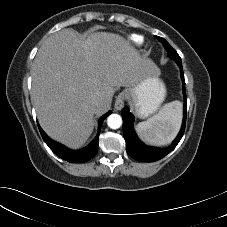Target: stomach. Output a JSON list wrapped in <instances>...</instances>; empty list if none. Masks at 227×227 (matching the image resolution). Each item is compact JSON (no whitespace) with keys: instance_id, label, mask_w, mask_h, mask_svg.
<instances>
[{"instance_id":"1","label":"stomach","mask_w":227,"mask_h":227,"mask_svg":"<svg viewBox=\"0 0 227 227\" xmlns=\"http://www.w3.org/2000/svg\"><path fill=\"white\" fill-rule=\"evenodd\" d=\"M126 93L133 111L143 119L156 112L165 98L166 89L159 74L150 73Z\"/></svg>"}]
</instances>
